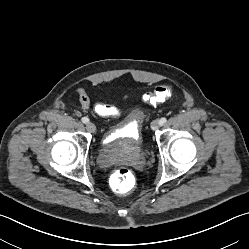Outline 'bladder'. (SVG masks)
<instances>
[{"instance_id":"31cf9c89","label":"bladder","mask_w":249,"mask_h":249,"mask_svg":"<svg viewBox=\"0 0 249 249\" xmlns=\"http://www.w3.org/2000/svg\"><path fill=\"white\" fill-rule=\"evenodd\" d=\"M135 117H140L142 112H133ZM105 161L110 162L119 153L143 150L144 144L140 127L123 124L111 130L104 138Z\"/></svg>"}]
</instances>
